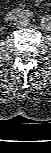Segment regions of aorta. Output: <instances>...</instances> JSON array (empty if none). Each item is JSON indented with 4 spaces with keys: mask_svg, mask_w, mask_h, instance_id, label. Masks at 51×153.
I'll return each instance as SVG.
<instances>
[{
    "mask_svg": "<svg viewBox=\"0 0 51 153\" xmlns=\"http://www.w3.org/2000/svg\"><path fill=\"white\" fill-rule=\"evenodd\" d=\"M41 26L45 31H51V17L50 16H44L41 19Z\"/></svg>",
    "mask_w": 51,
    "mask_h": 153,
    "instance_id": "obj_1",
    "label": "aorta"
}]
</instances>
